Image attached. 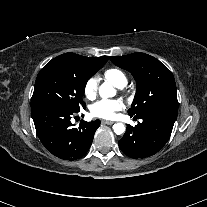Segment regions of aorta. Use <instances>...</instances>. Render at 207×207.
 I'll use <instances>...</instances> for the list:
<instances>
[{"label":"aorta","instance_id":"aorta-1","mask_svg":"<svg viewBox=\"0 0 207 207\" xmlns=\"http://www.w3.org/2000/svg\"><path fill=\"white\" fill-rule=\"evenodd\" d=\"M99 94L102 98H108L115 96L116 91L110 83L104 82L99 88ZM113 130L117 135H121L125 132V125L123 123H116L113 125Z\"/></svg>","mask_w":207,"mask_h":207}]
</instances>
